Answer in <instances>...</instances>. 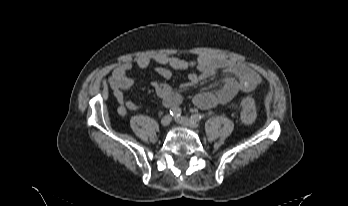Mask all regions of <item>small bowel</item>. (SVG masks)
Wrapping results in <instances>:
<instances>
[{"mask_svg": "<svg viewBox=\"0 0 348 206\" xmlns=\"http://www.w3.org/2000/svg\"><path fill=\"white\" fill-rule=\"evenodd\" d=\"M153 61L159 65L156 68L157 74L164 79L171 78L170 68L175 70L193 68L194 71L189 74L188 80L181 85L184 90L193 88L201 80L209 78L221 70L230 72L235 76L224 78L217 91L195 94L192 101L201 109L218 106H228L235 109L236 105L232 102L234 96L238 92L251 91L261 82L260 76L249 66L223 56L202 54L193 62L167 55H158L153 59L142 56L137 59L136 63L138 67L146 69L152 65ZM131 68V63L124 62L112 71L108 79L113 95L119 103L118 112L121 116H126L129 111L139 110L143 107V104L127 100L124 97V91L130 89L135 83V78L130 73ZM152 87L164 106L173 108L181 103V95L170 85L153 82Z\"/></svg>", "mask_w": 348, "mask_h": 206, "instance_id": "1", "label": "small bowel"}]
</instances>
